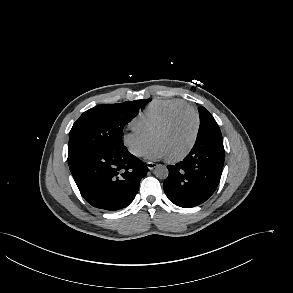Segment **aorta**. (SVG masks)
I'll return each mask as SVG.
<instances>
[{"mask_svg": "<svg viewBox=\"0 0 293 293\" xmlns=\"http://www.w3.org/2000/svg\"><path fill=\"white\" fill-rule=\"evenodd\" d=\"M154 174L159 179H166L168 177L169 171L165 165H157Z\"/></svg>", "mask_w": 293, "mask_h": 293, "instance_id": "1", "label": "aorta"}]
</instances>
